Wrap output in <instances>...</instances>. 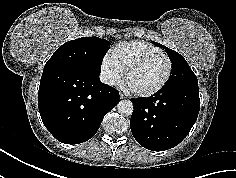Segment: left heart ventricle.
<instances>
[{
	"label": "left heart ventricle",
	"instance_id": "left-heart-ventricle-1",
	"mask_svg": "<svg viewBox=\"0 0 236 178\" xmlns=\"http://www.w3.org/2000/svg\"><path fill=\"white\" fill-rule=\"evenodd\" d=\"M168 61L156 56L131 71L125 79V85L135 91H147L156 87L165 77Z\"/></svg>",
	"mask_w": 236,
	"mask_h": 178
}]
</instances>
